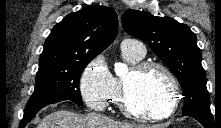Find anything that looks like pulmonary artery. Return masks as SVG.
<instances>
[{
	"label": "pulmonary artery",
	"instance_id": "pulmonary-artery-1",
	"mask_svg": "<svg viewBox=\"0 0 221 128\" xmlns=\"http://www.w3.org/2000/svg\"><path fill=\"white\" fill-rule=\"evenodd\" d=\"M121 49H129L141 57L145 55V45L141 40L126 38L121 43Z\"/></svg>",
	"mask_w": 221,
	"mask_h": 128
}]
</instances>
